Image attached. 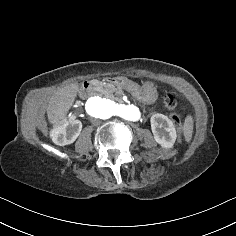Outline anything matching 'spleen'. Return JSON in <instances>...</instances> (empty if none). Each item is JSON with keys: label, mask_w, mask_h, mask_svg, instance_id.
Masks as SVG:
<instances>
[{"label": "spleen", "mask_w": 236, "mask_h": 236, "mask_svg": "<svg viewBox=\"0 0 236 236\" xmlns=\"http://www.w3.org/2000/svg\"><path fill=\"white\" fill-rule=\"evenodd\" d=\"M193 132H194V118L192 114H188L184 121V129L183 134L185 137V141L187 143H190L193 138Z\"/></svg>", "instance_id": "3e777b00"}]
</instances>
